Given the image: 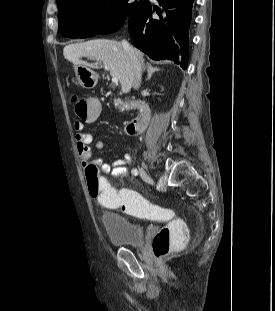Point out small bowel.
<instances>
[{"mask_svg": "<svg viewBox=\"0 0 275 311\" xmlns=\"http://www.w3.org/2000/svg\"><path fill=\"white\" fill-rule=\"evenodd\" d=\"M76 128V150L80 159V162L84 169L91 165H94L99 169L100 172L105 174H110L114 177H125L128 174L127 164L131 162V157L125 154L121 158L109 163L102 158L93 159V151L91 144L93 142V136L91 133L83 130V125L81 122L77 121L75 123ZM95 148L98 151L106 150V143L103 140H97L95 142ZM110 206V205H109ZM114 207V206H112Z\"/></svg>", "mask_w": 275, "mask_h": 311, "instance_id": "c3829d8e", "label": "small bowel"}]
</instances>
